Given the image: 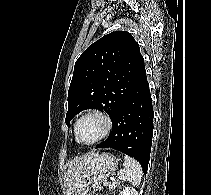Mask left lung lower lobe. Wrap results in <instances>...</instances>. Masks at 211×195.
Masks as SVG:
<instances>
[{
	"label": "left lung lower lobe",
	"mask_w": 211,
	"mask_h": 195,
	"mask_svg": "<svg viewBox=\"0 0 211 195\" xmlns=\"http://www.w3.org/2000/svg\"><path fill=\"white\" fill-rule=\"evenodd\" d=\"M109 137L96 148H112L134 157L147 172L153 136V106L147 77L112 118Z\"/></svg>",
	"instance_id": "left-lung-lower-lobe-1"
}]
</instances>
